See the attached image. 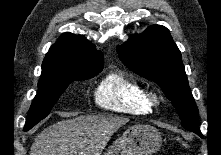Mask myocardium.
I'll return each instance as SVG.
<instances>
[{
  "label": "myocardium",
  "mask_w": 221,
  "mask_h": 155,
  "mask_svg": "<svg viewBox=\"0 0 221 155\" xmlns=\"http://www.w3.org/2000/svg\"><path fill=\"white\" fill-rule=\"evenodd\" d=\"M147 100L152 107L159 106L161 103V96L156 92L147 93Z\"/></svg>",
  "instance_id": "obj_1"
}]
</instances>
